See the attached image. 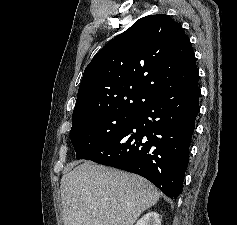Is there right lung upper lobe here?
<instances>
[{"instance_id": "right-lung-upper-lobe-1", "label": "right lung upper lobe", "mask_w": 237, "mask_h": 225, "mask_svg": "<svg viewBox=\"0 0 237 225\" xmlns=\"http://www.w3.org/2000/svg\"><path fill=\"white\" fill-rule=\"evenodd\" d=\"M196 85L195 55L181 25L165 14L145 16L85 68L72 123L104 113H137L164 93Z\"/></svg>"}]
</instances>
